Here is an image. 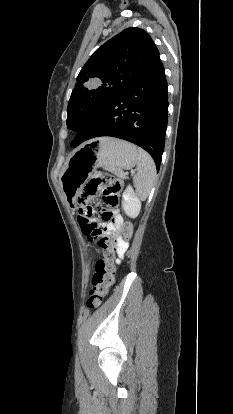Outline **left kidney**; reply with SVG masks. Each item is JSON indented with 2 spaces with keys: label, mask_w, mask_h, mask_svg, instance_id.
<instances>
[{
  "label": "left kidney",
  "mask_w": 233,
  "mask_h": 414,
  "mask_svg": "<svg viewBox=\"0 0 233 414\" xmlns=\"http://www.w3.org/2000/svg\"><path fill=\"white\" fill-rule=\"evenodd\" d=\"M122 207L131 218H136L140 213L141 201L131 186H128L122 195Z\"/></svg>",
  "instance_id": "obj_1"
}]
</instances>
